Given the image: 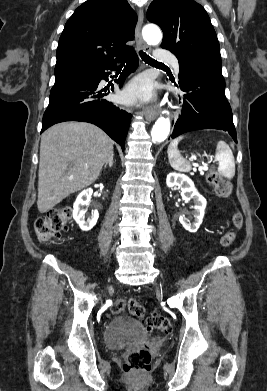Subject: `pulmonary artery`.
<instances>
[{"label":"pulmonary artery","mask_w":267,"mask_h":391,"mask_svg":"<svg viewBox=\"0 0 267 391\" xmlns=\"http://www.w3.org/2000/svg\"><path fill=\"white\" fill-rule=\"evenodd\" d=\"M156 58L158 61H166L172 65L176 73H179V62L178 59L170 54L169 52H166L164 50H157L156 52Z\"/></svg>","instance_id":"1"}]
</instances>
